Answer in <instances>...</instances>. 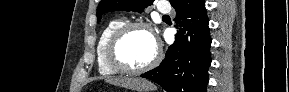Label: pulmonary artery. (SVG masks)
Listing matches in <instances>:
<instances>
[{
	"mask_svg": "<svg viewBox=\"0 0 289 92\" xmlns=\"http://www.w3.org/2000/svg\"><path fill=\"white\" fill-rule=\"evenodd\" d=\"M157 9L160 13L168 14L170 12V6L166 3H160L157 6Z\"/></svg>",
	"mask_w": 289,
	"mask_h": 92,
	"instance_id": "e3ab8cb5",
	"label": "pulmonary artery"
}]
</instances>
